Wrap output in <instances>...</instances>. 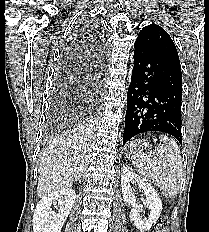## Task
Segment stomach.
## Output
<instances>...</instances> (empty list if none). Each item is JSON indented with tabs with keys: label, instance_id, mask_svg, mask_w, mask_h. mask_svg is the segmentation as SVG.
Instances as JSON below:
<instances>
[{
	"label": "stomach",
	"instance_id": "stomach-1",
	"mask_svg": "<svg viewBox=\"0 0 209 232\" xmlns=\"http://www.w3.org/2000/svg\"><path fill=\"white\" fill-rule=\"evenodd\" d=\"M149 148V143L145 140L130 142L128 149L130 153H135L136 151H143Z\"/></svg>",
	"mask_w": 209,
	"mask_h": 232
}]
</instances>
